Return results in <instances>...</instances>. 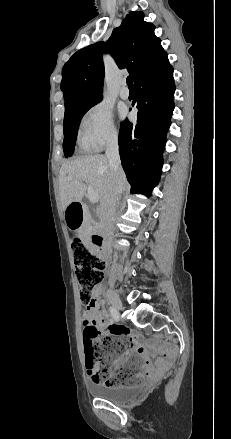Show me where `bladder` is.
<instances>
[{
	"label": "bladder",
	"instance_id": "31cf9c89",
	"mask_svg": "<svg viewBox=\"0 0 231 439\" xmlns=\"http://www.w3.org/2000/svg\"><path fill=\"white\" fill-rule=\"evenodd\" d=\"M129 368H132L129 366ZM90 393L99 399L122 403L137 398L141 394L139 386H107L101 383L90 386Z\"/></svg>",
	"mask_w": 231,
	"mask_h": 439
}]
</instances>
